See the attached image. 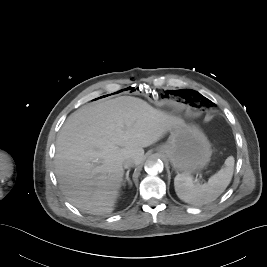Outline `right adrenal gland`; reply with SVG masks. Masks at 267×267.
<instances>
[{
    "label": "right adrenal gland",
    "mask_w": 267,
    "mask_h": 267,
    "mask_svg": "<svg viewBox=\"0 0 267 267\" xmlns=\"http://www.w3.org/2000/svg\"><path fill=\"white\" fill-rule=\"evenodd\" d=\"M126 181L128 182L129 186L131 187V186H132V182H131V180H130V178H129V170L126 172L125 179H124L123 182H122V185H123V186H125Z\"/></svg>",
    "instance_id": "right-adrenal-gland-1"
}]
</instances>
